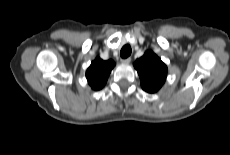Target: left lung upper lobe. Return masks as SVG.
I'll use <instances>...</instances> for the list:
<instances>
[{
    "label": "left lung upper lobe",
    "instance_id": "left-lung-upper-lobe-1",
    "mask_svg": "<svg viewBox=\"0 0 230 155\" xmlns=\"http://www.w3.org/2000/svg\"><path fill=\"white\" fill-rule=\"evenodd\" d=\"M134 67L146 92L155 93L163 86L167 77V66L151 50L137 59Z\"/></svg>",
    "mask_w": 230,
    "mask_h": 155
}]
</instances>
